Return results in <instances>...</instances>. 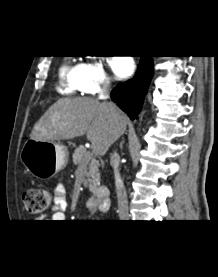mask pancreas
Returning <instances> with one entry per match:
<instances>
[{"instance_id": "cf45deb5", "label": "pancreas", "mask_w": 218, "mask_h": 277, "mask_svg": "<svg viewBox=\"0 0 218 277\" xmlns=\"http://www.w3.org/2000/svg\"><path fill=\"white\" fill-rule=\"evenodd\" d=\"M72 158L75 165H89V171L86 173L88 187L90 192H95L96 188L100 185L98 161L93 158L92 153L88 152L84 146H79L76 148Z\"/></svg>"}]
</instances>
